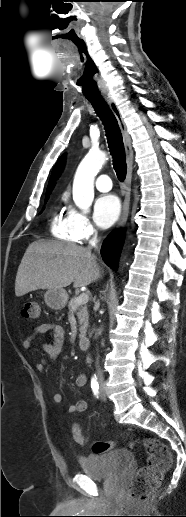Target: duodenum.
<instances>
[{
	"instance_id": "410a0bca",
	"label": "duodenum",
	"mask_w": 186,
	"mask_h": 517,
	"mask_svg": "<svg viewBox=\"0 0 186 517\" xmlns=\"http://www.w3.org/2000/svg\"><path fill=\"white\" fill-rule=\"evenodd\" d=\"M78 343L81 350H88L90 347V338L88 336H81L78 339Z\"/></svg>"
}]
</instances>
